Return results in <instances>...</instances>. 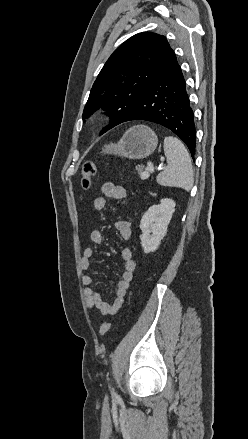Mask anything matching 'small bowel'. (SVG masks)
<instances>
[{"instance_id": "obj_1", "label": "small bowel", "mask_w": 248, "mask_h": 439, "mask_svg": "<svg viewBox=\"0 0 248 439\" xmlns=\"http://www.w3.org/2000/svg\"><path fill=\"white\" fill-rule=\"evenodd\" d=\"M126 196L127 191L123 186L106 182L101 186V196L96 197L93 201L94 209L102 211L105 209L109 199L123 200ZM115 228L121 239L129 240L131 238L132 231L129 221L123 219L118 220L115 223ZM103 239V233L99 229H94L90 233V241L93 244H101ZM93 255L94 249L92 247L89 246L84 249L83 256L80 260V267L83 271H87L90 268ZM120 255L124 262V270L117 284L115 298L112 303L109 304L103 301L101 296L93 289V278L90 275L85 274L82 276V284L84 285L83 291L88 309H96L104 316L115 315L123 306L125 295L129 289L136 267V263L132 258L131 249L123 248Z\"/></svg>"}]
</instances>
